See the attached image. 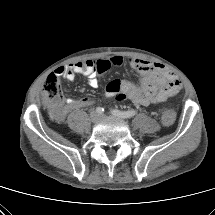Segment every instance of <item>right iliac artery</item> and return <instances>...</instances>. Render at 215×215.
<instances>
[{
  "label": "right iliac artery",
  "mask_w": 215,
  "mask_h": 215,
  "mask_svg": "<svg viewBox=\"0 0 215 215\" xmlns=\"http://www.w3.org/2000/svg\"><path fill=\"white\" fill-rule=\"evenodd\" d=\"M96 113H98V114H103V113H104V108H102V107H97V108H96Z\"/></svg>",
  "instance_id": "obj_1"
}]
</instances>
